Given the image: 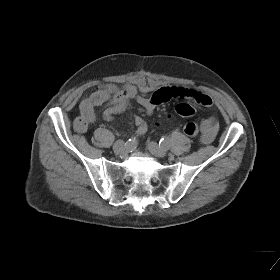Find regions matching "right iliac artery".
Here are the masks:
<instances>
[{"label":"right iliac artery","instance_id":"1","mask_svg":"<svg viewBox=\"0 0 280 280\" xmlns=\"http://www.w3.org/2000/svg\"><path fill=\"white\" fill-rule=\"evenodd\" d=\"M137 145L138 140L136 139V137H132L125 143V149L128 152H132L136 149Z\"/></svg>","mask_w":280,"mask_h":280}]
</instances>
